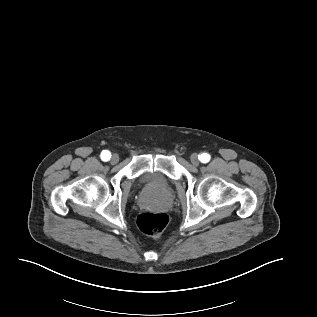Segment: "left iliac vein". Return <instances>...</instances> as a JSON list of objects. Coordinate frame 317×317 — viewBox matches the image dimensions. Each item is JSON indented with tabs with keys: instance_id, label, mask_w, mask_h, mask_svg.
I'll return each instance as SVG.
<instances>
[{
	"instance_id": "obj_1",
	"label": "left iliac vein",
	"mask_w": 317,
	"mask_h": 317,
	"mask_svg": "<svg viewBox=\"0 0 317 317\" xmlns=\"http://www.w3.org/2000/svg\"><path fill=\"white\" fill-rule=\"evenodd\" d=\"M190 160H191V163L194 165V166H198L199 165V156L197 153H193L190 157Z\"/></svg>"
}]
</instances>
